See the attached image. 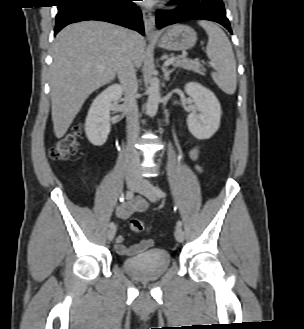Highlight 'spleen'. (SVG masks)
<instances>
[{
	"instance_id": "3e777b00",
	"label": "spleen",
	"mask_w": 304,
	"mask_h": 329,
	"mask_svg": "<svg viewBox=\"0 0 304 329\" xmlns=\"http://www.w3.org/2000/svg\"><path fill=\"white\" fill-rule=\"evenodd\" d=\"M198 24L208 35L206 53L215 69L211 77L223 92L232 95L236 91L237 75L231 43L224 31L214 23L203 20Z\"/></svg>"
}]
</instances>
